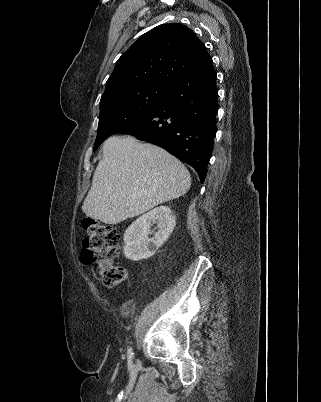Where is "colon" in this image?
I'll return each mask as SVG.
<instances>
[{
    "instance_id": "colon-1",
    "label": "colon",
    "mask_w": 321,
    "mask_h": 402,
    "mask_svg": "<svg viewBox=\"0 0 321 402\" xmlns=\"http://www.w3.org/2000/svg\"><path fill=\"white\" fill-rule=\"evenodd\" d=\"M87 237L82 242L81 259L97 264L101 282L106 288L118 287L126 278V270L110 259L120 249V234L114 227L94 219H85Z\"/></svg>"
}]
</instances>
